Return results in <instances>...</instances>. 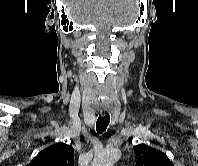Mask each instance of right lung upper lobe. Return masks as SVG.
Returning <instances> with one entry per match:
<instances>
[{"instance_id":"right-lung-upper-lobe-1","label":"right lung upper lobe","mask_w":198,"mask_h":166,"mask_svg":"<svg viewBox=\"0 0 198 166\" xmlns=\"http://www.w3.org/2000/svg\"><path fill=\"white\" fill-rule=\"evenodd\" d=\"M28 166H74V149L57 143L39 152Z\"/></svg>"}]
</instances>
